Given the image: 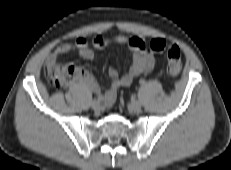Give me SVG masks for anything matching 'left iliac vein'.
<instances>
[{"instance_id": "4c4485c4", "label": "left iliac vein", "mask_w": 231, "mask_h": 170, "mask_svg": "<svg viewBox=\"0 0 231 170\" xmlns=\"http://www.w3.org/2000/svg\"><path fill=\"white\" fill-rule=\"evenodd\" d=\"M129 108L131 111L138 113L142 109V104L139 101H133L129 104Z\"/></svg>"}]
</instances>
